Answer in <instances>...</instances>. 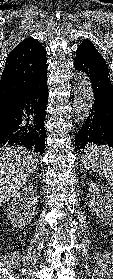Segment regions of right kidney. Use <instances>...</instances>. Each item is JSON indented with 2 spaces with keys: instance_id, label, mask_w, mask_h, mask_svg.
<instances>
[{
  "instance_id": "right-kidney-1",
  "label": "right kidney",
  "mask_w": 113,
  "mask_h": 279,
  "mask_svg": "<svg viewBox=\"0 0 113 279\" xmlns=\"http://www.w3.org/2000/svg\"><path fill=\"white\" fill-rule=\"evenodd\" d=\"M37 192L33 186L24 187L10 203L7 218L13 227L23 228L35 215Z\"/></svg>"
}]
</instances>
